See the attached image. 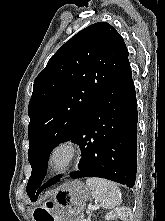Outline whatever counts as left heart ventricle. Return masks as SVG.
<instances>
[{"mask_svg":"<svg viewBox=\"0 0 165 221\" xmlns=\"http://www.w3.org/2000/svg\"><path fill=\"white\" fill-rule=\"evenodd\" d=\"M65 160H66V153L64 151H60L54 157V164L60 166L65 162Z\"/></svg>","mask_w":165,"mask_h":221,"instance_id":"1","label":"left heart ventricle"}]
</instances>
